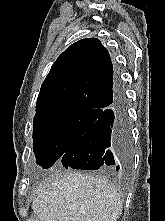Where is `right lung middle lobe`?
<instances>
[{
    "mask_svg": "<svg viewBox=\"0 0 165 221\" xmlns=\"http://www.w3.org/2000/svg\"><path fill=\"white\" fill-rule=\"evenodd\" d=\"M99 111L62 108L37 113L33 151L37 165L51 167L97 120Z\"/></svg>",
    "mask_w": 165,
    "mask_h": 221,
    "instance_id": "1",
    "label": "right lung middle lobe"
}]
</instances>
